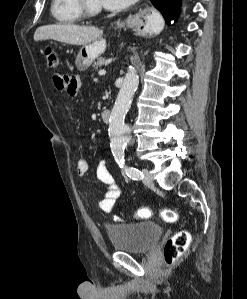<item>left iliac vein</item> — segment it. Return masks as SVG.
Segmentation results:
<instances>
[{"label":"left iliac vein","mask_w":247,"mask_h":299,"mask_svg":"<svg viewBox=\"0 0 247 299\" xmlns=\"http://www.w3.org/2000/svg\"><path fill=\"white\" fill-rule=\"evenodd\" d=\"M142 173L144 175V177L142 178L143 183L148 187L153 186V180H152V177H151V174H150L149 170L148 169H142Z\"/></svg>","instance_id":"1"}]
</instances>
